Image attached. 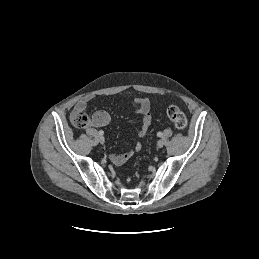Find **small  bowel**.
<instances>
[{
	"mask_svg": "<svg viewBox=\"0 0 259 259\" xmlns=\"http://www.w3.org/2000/svg\"><path fill=\"white\" fill-rule=\"evenodd\" d=\"M90 100L89 97L82 98L76 104L75 109L85 111L87 103ZM134 110L140 116L142 127L138 132V137L142 138L145 136L151 124V103L147 98H137L134 101ZM110 116L106 111L99 110L93 114L91 125L95 127H102L109 123ZM141 150V143L136 142L133 148L127 152L112 155V160L115 164L121 165L131 158V156Z\"/></svg>",
	"mask_w": 259,
	"mask_h": 259,
	"instance_id": "c3829d8e",
	"label": "small bowel"
}]
</instances>
